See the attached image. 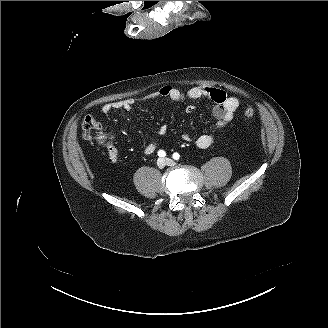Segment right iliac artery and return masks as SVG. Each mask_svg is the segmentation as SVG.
Instances as JSON below:
<instances>
[{
  "instance_id": "right-iliac-artery-1",
  "label": "right iliac artery",
  "mask_w": 328,
  "mask_h": 328,
  "mask_svg": "<svg viewBox=\"0 0 328 328\" xmlns=\"http://www.w3.org/2000/svg\"><path fill=\"white\" fill-rule=\"evenodd\" d=\"M158 155H159V157H165V156H166V153H165V151L160 150V151L158 152Z\"/></svg>"
}]
</instances>
